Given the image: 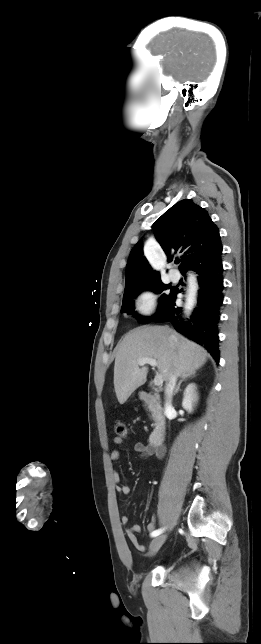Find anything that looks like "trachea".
Segmentation results:
<instances>
[{
  "mask_svg": "<svg viewBox=\"0 0 261 644\" xmlns=\"http://www.w3.org/2000/svg\"><path fill=\"white\" fill-rule=\"evenodd\" d=\"M179 262H180L179 260H176V261H175V264H178Z\"/></svg>",
  "mask_w": 261,
  "mask_h": 644,
  "instance_id": "3493384b",
  "label": "trachea"
}]
</instances>
